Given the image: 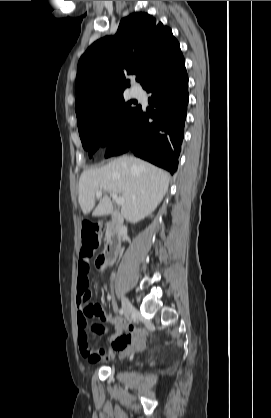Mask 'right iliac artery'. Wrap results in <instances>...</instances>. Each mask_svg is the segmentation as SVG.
Instances as JSON below:
<instances>
[{
	"label": "right iliac artery",
	"mask_w": 271,
	"mask_h": 418,
	"mask_svg": "<svg viewBox=\"0 0 271 418\" xmlns=\"http://www.w3.org/2000/svg\"><path fill=\"white\" fill-rule=\"evenodd\" d=\"M124 313L123 309L119 310V314L122 315Z\"/></svg>",
	"instance_id": "obj_1"
}]
</instances>
